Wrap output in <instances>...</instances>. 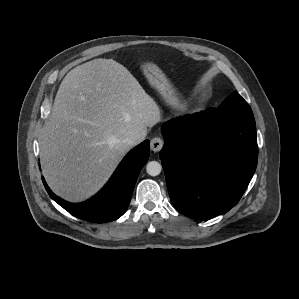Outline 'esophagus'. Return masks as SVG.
Listing matches in <instances>:
<instances>
[{
    "label": "esophagus",
    "mask_w": 299,
    "mask_h": 299,
    "mask_svg": "<svg viewBox=\"0 0 299 299\" xmlns=\"http://www.w3.org/2000/svg\"><path fill=\"white\" fill-rule=\"evenodd\" d=\"M163 145L164 141L160 137H154L150 143L151 150L154 152L160 151Z\"/></svg>",
    "instance_id": "1"
}]
</instances>
